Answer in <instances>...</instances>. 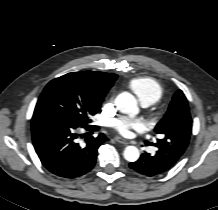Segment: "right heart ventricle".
I'll use <instances>...</instances> for the list:
<instances>
[{
	"mask_svg": "<svg viewBox=\"0 0 218 210\" xmlns=\"http://www.w3.org/2000/svg\"><path fill=\"white\" fill-rule=\"evenodd\" d=\"M129 88L142 105L150 106L160 100L163 90L158 81L151 77H138L129 81Z\"/></svg>",
	"mask_w": 218,
	"mask_h": 210,
	"instance_id": "1",
	"label": "right heart ventricle"
}]
</instances>
